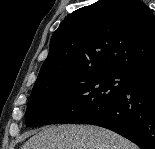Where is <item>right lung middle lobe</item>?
<instances>
[{
    "mask_svg": "<svg viewBox=\"0 0 155 149\" xmlns=\"http://www.w3.org/2000/svg\"><path fill=\"white\" fill-rule=\"evenodd\" d=\"M131 77L130 73L88 71L39 81L27 104L26 125L90 122L125 92Z\"/></svg>",
    "mask_w": 155,
    "mask_h": 149,
    "instance_id": "dd1d6c3e",
    "label": "right lung middle lobe"
}]
</instances>
